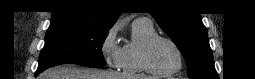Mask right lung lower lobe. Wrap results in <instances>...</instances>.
<instances>
[{
	"instance_id": "right-lung-lower-lobe-1",
	"label": "right lung lower lobe",
	"mask_w": 255,
	"mask_h": 79,
	"mask_svg": "<svg viewBox=\"0 0 255 79\" xmlns=\"http://www.w3.org/2000/svg\"><path fill=\"white\" fill-rule=\"evenodd\" d=\"M40 72H42V71L37 70V72H36V74H35V75L37 76Z\"/></svg>"
}]
</instances>
